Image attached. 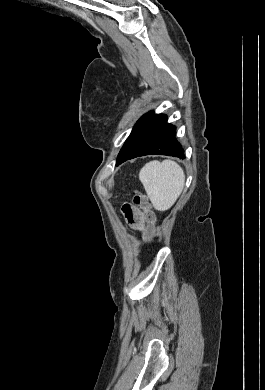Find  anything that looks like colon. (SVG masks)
I'll return each mask as SVG.
<instances>
[{
  "label": "colon",
  "mask_w": 265,
  "mask_h": 390,
  "mask_svg": "<svg viewBox=\"0 0 265 390\" xmlns=\"http://www.w3.org/2000/svg\"><path fill=\"white\" fill-rule=\"evenodd\" d=\"M132 202L134 207L143 212L146 223L148 225H154L155 214L151 209L147 196L140 191H136L133 195Z\"/></svg>",
  "instance_id": "obj_1"
}]
</instances>
